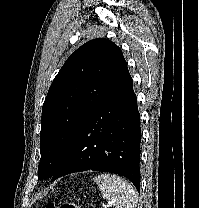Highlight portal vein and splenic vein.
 Segmentation results:
<instances>
[{
  "label": "portal vein and splenic vein",
  "instance_id": "obj_1",
  "mask_svg": "<svg viewBox=\"0 0 199 208\" xmlns=\"http://www.w3.org/2000/svg\"><path fill=\"white\" fill-rule=\"evenodd\" d=\"M108 207H110V204L109 203H107V204L104 205V208H108Z\"/></svg>",
  "mask_w": 199,
  "mask_h": 208
}]
</instances>
